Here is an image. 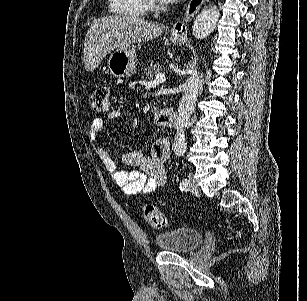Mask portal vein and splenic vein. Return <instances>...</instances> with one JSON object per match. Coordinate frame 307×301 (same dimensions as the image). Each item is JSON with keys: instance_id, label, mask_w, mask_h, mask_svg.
Segmentation results:
<instances>
[{"instance_id": "portal-vein-and-splenic-vein-1", "label": "portal vein and splenic vein", "mask_w": 307, "mask_h": 301, "mask_svg": "<svg viewBox=\"0 0 307 301\" xmlns=\"http://www.w3.org/2000/svg\"><path fill=\"white\" fill-rule=\"evenodd\" d=\"M165 80H166L165 74L159 72V74H155L154 80H150L149 84L150 86H156V84H159V82H165Z\"/></svg>"}]
</instances>
